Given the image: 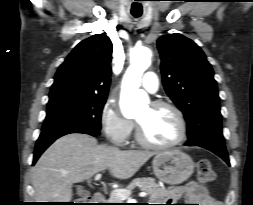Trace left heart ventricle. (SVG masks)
Listing matches in <instances>:
<instances>
[{"label":"left heart ventricle","instance_id":"obj_1","mask_svg":"<svg viewBox=\"0 0 253 205\" xmlns=\"http://www.w3.org/2000/svg\"><path fill=\"white\" fill-rule=\"evenodd\" d=\"M143 135L156 144H167L179 135V123L175 114L167 108H143L135 117Z\"/></svg>","mask_w":253,"mask_h":205}]
</instances>
